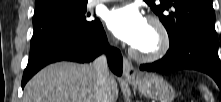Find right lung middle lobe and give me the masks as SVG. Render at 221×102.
Listing matches in <instances>:
<instances>
[{"label": "right lung middle lobe", "mask_w": 221, "mask_h": 102, "mask_svg": "<svg viewBox=\"0 0 221 102\" xmlns=\"http://www.w3.org/2000/svg\"><path fill=\"white\" fill-rule=\"evenodd\" d=\"M87 0H46L35 6L31 49L65 31H85L98 19L86 12Z\"/></svg>", "instance_id": "obj_1"}]
</instances>
